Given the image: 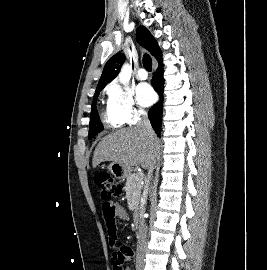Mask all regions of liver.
I'll list each match as a JSON object with an SVG mask.
<instances>
[{"mask_svg":"<svg viewBox=\"0 0 267 270\" xmlns=\"http://www.w3.org/2000/svg\"><path fill=\"white\" fill-rule=\"evenodd\" d=\"M159 153V140L154 134L148 136L137 127L117 130L105 136L97 145L92 165L96 168L101 162L112 161L131 169L141 165L149 169Z\"/></svg>","mask_w":267,"mask_h":270,"instance_id":"liver-1","label":"liver"}]
</instances>
